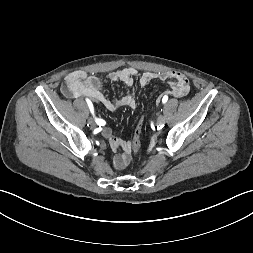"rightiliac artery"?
<instances>
[{
    "mask_svg": "<svg viewBox=\"0 0 253 253\" xmlns=\"http://www.w3.org/2000/svg\"><path fill=\"white\" fill-rule=\"evenodd\" d=\"M86 101H87V104H88V106H89V109H90L91 113L94 115V108H93L92 102H91L89 99H86ZM96 123H97L98 125H104V124H105V121L102 120V119H96Z\"/></svg>",
    "mask_w": 253,
    "mask_h": 253,
    "instance_id": "right-iliac-artery-1",
    "label": "right iliac artery"
}]
</instances>
